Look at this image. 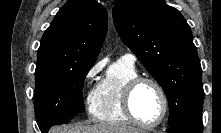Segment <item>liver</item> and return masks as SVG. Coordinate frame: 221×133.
<instances>
[{
    "label": "liver",
    "instance_id": "1",
    "mask_svg": "<svg viewBox=\"0 0 221 133\" xmlns=\"http://www.w3.org/2000/svg\"><path fill=\"white\" fill-rule=\"evenodd\" d=\"M50 133H143L140 129L134 127L99 123L95 125H83L76 123L74 125H66L54 127Z\"/></svg>",
    "mask_w": 221,
    "mask_h": 133
}]
</instances>
